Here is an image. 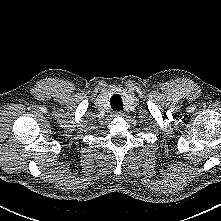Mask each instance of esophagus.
Returning <instances> with one entry per match:
<instances>
[{
    "instance_id": "34e87169",
    "label": "esophagus",
    "mask_w": 221,
    "mask_h": 221,
    "mask_svg": "<svg viewBox=\"0 0 221 221\" xmlns=\"http://www.w3.org/2000/svg\"><path fill=\"white\" fill-rule=\"evenodd\" d=\"M113 115L116 117H123L124 113L122 111H115Z\"/></svg>"
}]
</instances>
